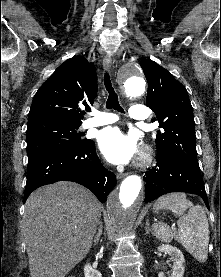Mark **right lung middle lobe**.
Returning <instances> with one entry per match:
<instances>
[{"label":"right lung middle lobe","instance_id":"dd1d6c3e","mask_svg":"<svg viewBox=\"0 0 221 277\" xmlns=\"http://www.w3.org/2000/svg\"><path fill=\"white\" fill-rule=\"evenodd\" d=\"M80 124L44 123L28 125L27 154L28 163L45 155H53L83 144L87 139H81L78 133Z\"/></svg>","mask_w":221,"mask_h":277}]
</instances>
